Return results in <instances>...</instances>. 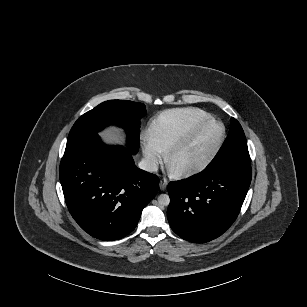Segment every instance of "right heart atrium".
I'll use <instances>...</instances> for the list:
<instances>
[{"mask_svg":"<svg viewBox=\"0 0 307 307\" xmlns=\"http://www.w3.org/2000/svg\"><path fill=\"white\" fill-rule=\"evenodd\" d=\"M143 163L150 171H155L163 161V152L149 139H143L141 142Z\"/></svg>","mask_w":307,"mask_h":307,"instance_id":"d8ad5b80","label":"right heart atrium"}]
</instances>
